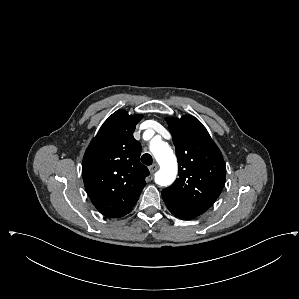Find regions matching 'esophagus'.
Listing matches in <instances>:
<instances>
[{
    "mask_svg": "<svg viewBox=\"0 0 299 299\" xmlns=\"http://www.w3.org/2000/svg\"><path fill=\"white\" fill-rule=\"evenodd\" d=\"M158 169V165L155 163L149 167V171L154 173Z\"/></svg>",
    "mask_w": 299,
    "mask_h": 299,
    "instance_id": "1",
    "label": "esophagus"
}]
</instances>
